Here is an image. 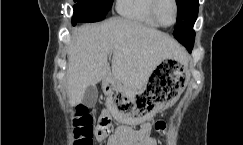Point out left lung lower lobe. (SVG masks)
<instances>
[{"instance_id":"1","label":"left lung lower lobe","mask_w":243,"mask_h":145,"mask_svg":"<svg viewBox=\"0 0 243 145\" xmlns=\"http://www.w3.org/2000/svg\"><path fill=\"white\" fill-rule=\"evenodd\" d=\"M182 25L186 28L187 35L183 38L178 39V41L183 44L188 51H191L194 44L195 32L193 31V26L188 25L186 21L182 22Z\"/></svg>"}]
</instances>
